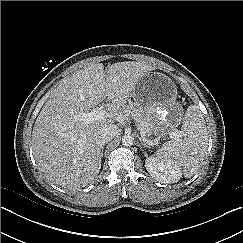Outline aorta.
<instances>
[{"instance_id":"obj_1","label":"aorta","mask_w":243,"mask_h":243,"mask_svg":"<svg viewBox=\"0 0 243 243\" xmlns=\"http://www.w3.org/2000/svg\"><path fill=\"white\" fill-rule=\"evenodd\" d=\"M134 143V137L132 135L126 134L122 137V144L124 146H132Z\"/></svg>"}]
</instances>
